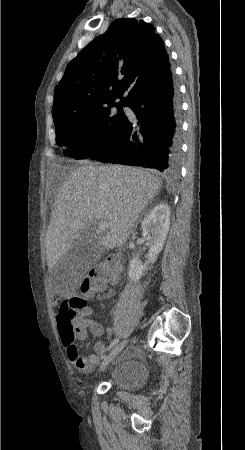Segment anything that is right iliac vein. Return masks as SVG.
<instances>
[{
	"label": "right iliac vein",
	"instance_id": "right-iliac-vein-1",
	"mask_svg": "<svg viewBox=\"0 0 245 450\" xmlns=\"http://www.w3.org/2000/svg\"><path fill=\"white\" fill-rule=\"evenodd\" d=\"M127 342V340L122 341L108 354V356L105 357L101 365V370H103L123 350Z\"/></svg>",
	"mask_w": 245,
	"mask_h": 450
}]
</instances>
